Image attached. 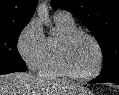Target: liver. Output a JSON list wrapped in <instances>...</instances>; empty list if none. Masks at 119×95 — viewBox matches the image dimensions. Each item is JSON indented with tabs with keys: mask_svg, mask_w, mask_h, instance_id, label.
Listing matches in <instances>:
<instances>
[{
	"mask_svg": "<svg viewBox=\"0 0 119 95\" xmlns=\"http://www.w3.org/2000/svg\"><path fill=\"white\" fill-rule=\"evenodd\" d=\"M78 84L15 72L0 75V95H66Z\"/></svg>",
	"mask_w": 119,
	"mask_h": 95,
	"instance_id": "obj_1",
	"label": "liver"
}]
</instances>
